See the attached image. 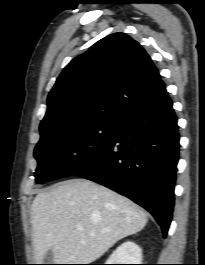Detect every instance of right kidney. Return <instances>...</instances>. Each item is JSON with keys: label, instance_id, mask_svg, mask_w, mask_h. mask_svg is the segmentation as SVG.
<instances>
[{"label": "right kidney", "instance_id": "ca27d5eb", "mask_svg": "<svg viewBox=\"0 0 205 265\" xmlns=\"http://www.w3.org/2000/svg\"><path fill=\"white\" fill-rule=\"evenodd\" d=\"M141 261V248L132 241H126L111 254L106 264H141Z\"/></svg>", "mask_w": 205, "mask_h": 265}]
</instances>
